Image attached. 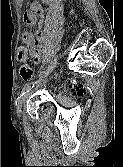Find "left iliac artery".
<instances>
[{"mask_svg": "<svg viewBox=\"0 0 123 167\" xmlns=\"http://www.w3.org/2000/svg\"><path fill=\"white\" fill-rule=\"evenodd\" d=\"M57 62H58V57H56L54 59V61L51 63V65L49 66L48 70L44 73V76L48 75L49 72H51L56 67ZM40 80H41V78H39L38 80H34V81H31V82L27 83L24 86V88L22 89V95L25 94L31 88H33L34 85L37 84Z\"/></svg>", "mask_w": 123, "mask_h": 167, "instance_id": "44dca946", "label": "left iliac artery"}]
</instances>
